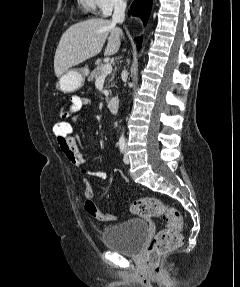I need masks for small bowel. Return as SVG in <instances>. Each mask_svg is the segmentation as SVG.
<instances>
[{
  "label": "small bowel",
  "mask_w": 240,
  "mask_h": 287,
  "mask_svg": "<svg viewBox=\"0 0 240 287\" xmlns=\"http://www.w3.org/2000/svg\"><path fill=\"white\" fill-rule=\"evenodd\" d=\"M90 103V99L75 94L70 97L69 103L67 105H63L61 107L60 117L68 120L72 124L73 128L72 134L68 141H57L59 148L66 157V159L72 165L81 168V172L83 175L104 180L107 178L106 171H94L85 168L86 159L81 152L80 138L75 131V125L78 120L79 111L83 107L90 105Z\"/></svg>",
  "instance_id": "1"
}]
</instances>
